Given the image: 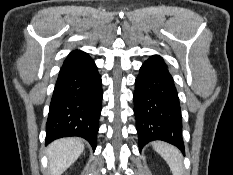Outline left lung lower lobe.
I'll return each instance as SVG.
<instances>
[{
    "label": "left lung lower lobe",
    "instance_id": "0a47b994",
    "mask_svg": "<svg viewBox=\"0 0 233 175\" xmlns=\"http://www.w3.org/2000/svg\"><path fill=\"white\" fill-rule=\"evenodd\" d=\"M134 114L139 149L163 140L184 151L178 93L167 65L159 55L143 63L135 80Z\"/></svg>",
    "mask_w": 233,
    "mask_h": 175
}]
</instances>
